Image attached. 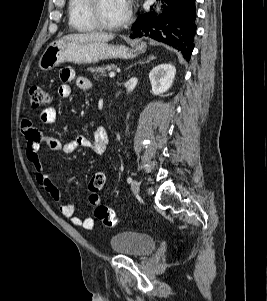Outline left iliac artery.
<instances>
[{
	"label": "left iliac artery",
	"instance_id": "44dca946",
	"mask_svg": "<svg viewBox=\"0 0 267 301\" xmlns=\"http://www.w3.org/2000/svg\"><path fill=\"white\" fill-rule=\"evenodd\" d=\"M127 182H128V183H131V182H132V178H131V177H128V178H127Z\"/></svg>",
	"mask_w": 267,
	"mask_h": 301
}]
</instances>
